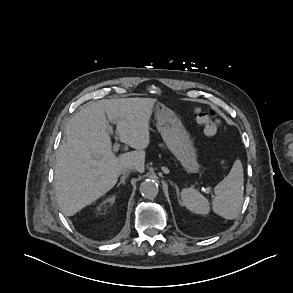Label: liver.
<instances>
[{"label":"liver","mask_w":293,"mask_h":293,"mask_svg":"<svg viewBox=\"0 0 293 293\" xmlns=\"http://www.w3.org/2000/svg\"><path fill=\"white\" fill-rule=\"evenodd\" d=\"M156 99L122 98L87 104L66 124V142L56 153L54 185L61 212L73 216L117 183L123 166L144 172L149 123ZM119 139L136 151L112 152L109 122Z\"/></svg>","instance_id":"liver-1"}]
</instances>
